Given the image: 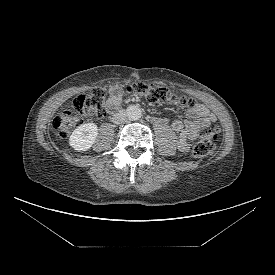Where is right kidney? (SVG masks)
<instances>
[{
	"label": "right kidney",
	"instance_id": "ca27d5eb",
	"mask_svg": "<svg viewBox=\"0 0 275 275\" xmlns=\"http://www.w3.org/2000/svg\"><path fill=\"white\" fill-rule=\"evenodd\" d=\"M97 134L98 127L95 123L80 125L72 132L69 144L77 151H87L94 144Z\"/></svg>",
	"mask_w": 275,
	"mask_h": 275
}]
</instances>
